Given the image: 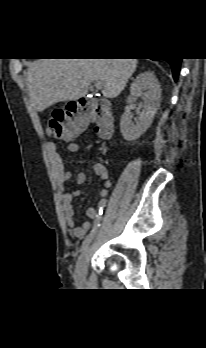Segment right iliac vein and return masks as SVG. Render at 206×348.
Listing matches in <instances>:
<instances>
[{"label": "right iliac vein", "mask_w": 206, "mask_h": 348, "mask_svg": "<svg viewBox=\"0 0 206 348\" xmlns=\"http://www.w3.org/2000/svg\"><path fill=\"white\" fill-rule=\"evenodd\" d=\"M90 250V246H87L77 261L75 268V276L78 282L85 281L87 264L90 257Z\"/></svg>", "instance_id": "1"}]
</instances>
